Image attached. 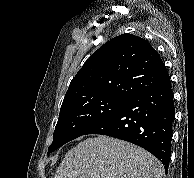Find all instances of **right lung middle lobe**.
<instances>
[{
    "label": "right lung middle lobe",
    "mask_w": 194,
    "mask_h": 178,
    "mask_svg": "<svg viewBox=\"0 0 194 178\" xmlns=\"http://www.w3.org/2000/svg\"><path fill=\"white\" fill-rule=\"evenodd\" d=\"M125 101L127 100L113 97H91L74 100L61 106L48 154L83 135Z\"/></svg>",
    "instance_id": "obj_1"
}]
</instances>
